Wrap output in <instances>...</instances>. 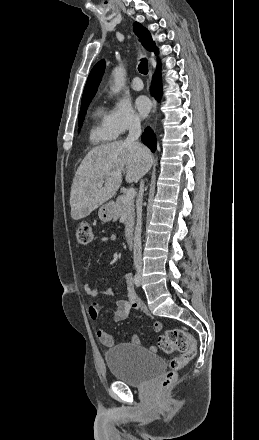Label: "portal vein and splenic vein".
<instances>
[{
  "instance_id": "18ae733b",
  "label": "portal vein and splenic vein",
  "mask_w": 259,
  "mask_h": 440,
  "mask_svg": "<svg viewBox=\"0 0 259 440\" xmlns=\"http://www.w3.org/2000/svg\"><path fill=\"white\" fill-rule=\"evenodd\" d=\"M102 185H103V183H99L98 187H101ZM134 196H135V190L133 188L128 189V191L126 192V195L124 196V199H123L124 203H128V202L132 201Z\"/></svg>"
}]
</instances>
